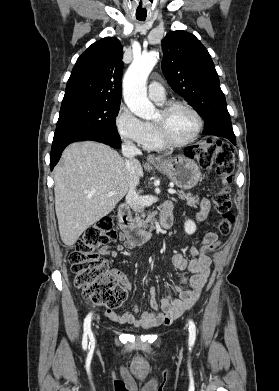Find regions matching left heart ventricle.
I'll return each mask as SVG.
<instances>
[{
  "mask_svg": "<svg viewBox=\"0 0 279 391\" xmlns=\"http://www.w3.org/2000/svg\"><path fill=\"white\" fill-rule=\"evenodd\" d=\"M160 112L154 121L159 120ZM197 128L195 116L184 107L174 108L167 117V129L170 137L174 141H185L189 139Z\"/></svg>",
  "mask_w": 279,
  "mask_h": 391,
  "instance_id": "b2bd125f",
  "label": "left heart ventricle"
}]
</instances>
